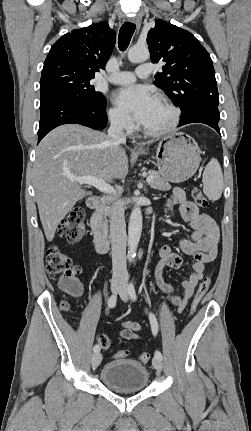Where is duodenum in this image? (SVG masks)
<instances>
[{
    "mask_svg": "<svg viewBox=\"0 0 251 431\" xmlns=\"http://www.w3.org/2000/svg\"><path fill=\"white\" fill-rule=\"evenodd\" d=\"M105 200L102 197H92L88 201V207L92 214L90 217V228L93 235L95 249L98 253L108 252L110 243L106 227L103 223L102 212Z\"/></svg>",
    "mask_w": 251,
    "mask_h": 431,
    "instance_id": "duodenum-1",
    "label": "duodenum"
}]
</instances>
